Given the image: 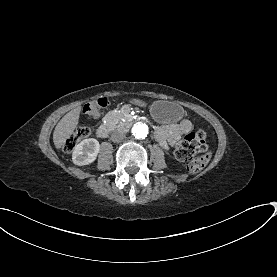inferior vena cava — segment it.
Returning <instances> with one entry per match:
<instances>
[{
    "mask_svg": "<svg viewBox=\"0 0 277 277\" xmlns=\"http://www.w3.org/2000/svg\"><path fill=\"white\" fill-rule=\"evenodd\" d=\"M125 138H126L125 135L122 134V133H119V132H113V133L111 134V140H112L113 142H121V141H123Z\"/></svg>",
    "mask_w": 277,
    "mask_h": 277,
    "instance_id": "inferior-vena-cava-1",
    "label": "inferior vena cava"
}]
</instances>
